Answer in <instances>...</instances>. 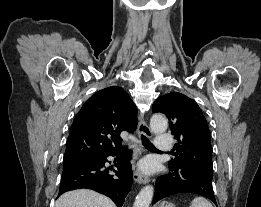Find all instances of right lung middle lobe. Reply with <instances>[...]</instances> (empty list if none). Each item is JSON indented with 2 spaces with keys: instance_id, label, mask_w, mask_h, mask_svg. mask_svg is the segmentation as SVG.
<instances>
[{
  "instance_id": "obj_1",
  "label": "right lung middle lobe",
  "mask_w": 261,
  "mask_h": 207,
  "mask_svg": "<svg viewBox=\"0 0 261 207\" xmlns=\"http://www.w3.org/2000/svg\"><path fill=\"white\" fill-rule=\"evenodd\" d=\"M93 160H94V158L64 161L63 168L76 166V165H80V164H85V163H91V162H93Z\"/></svg>"
}]
</instances>
